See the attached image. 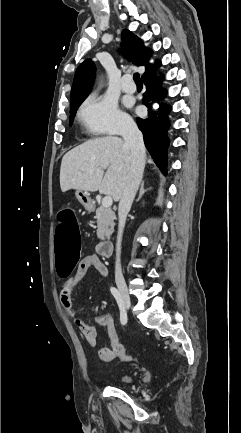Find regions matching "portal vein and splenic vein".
Segmentation results:
<instances>
[{"mask_svg":"<svg viewBox=\"0 0 241 433\" xmlns=\"http://www.w3.org/2000/svg\"><path fill=\"white\" fill-rule=\"evenodd\" d=\"M112 204H113V200H112V197H111V196H105V197L102 199V206H103V207H105V208H109V207L112 206Z\"/></svg>","mask_w":241,"mask_h":433,"instance_id":"18ae733b","label":"portal vein and splenic vein"}]
</instances>
